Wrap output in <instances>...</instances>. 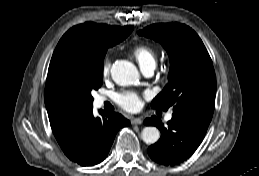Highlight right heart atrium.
Listing matches in <instances>:
<instances>
[{
  "label": "right heart atrium",
  "instance_id": "1",
  "mask_svg": "<svg viewBox=\"0 0 259 176\" xmlns=\"http://www.w3.org/2000/svg\"><path fill=\"white\" fill-rule=\"evenodd\" d=\"M111 68V59L109 57L105 58L103 64H102V74L104 76H107L110 72Z\"/></svg>",
  "mask_w": 259,
  "mask_h": 176
}]
</instances>
